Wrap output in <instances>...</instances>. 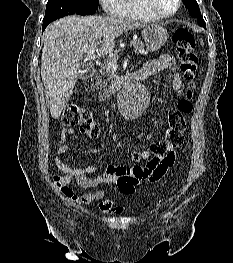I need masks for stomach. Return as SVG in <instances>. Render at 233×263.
I'll return each instance as SVG.
<instances>
[{"label": "stomach", "mask_w": 233, "mask_h": 263, "mask_svg": "<svg viewBox=\"0 0 233 263\" xmlns=\"http://www.w3.org/2000/svg\"><path fill=\"white\" fill-rule=\"evenodd\" d=\"M142 37L147 49L155 51L167 41L169 35L164 27L160 25H149L143 29Z\"/></svg>", "instance_id": "1"}]
</instances>
